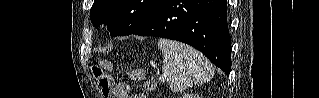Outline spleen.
Masks as SVG:
<instances>
[{
	"mask_svg": "<svg viewBox=\"0 0 319 98\" xmlns=\"http://www.w3.org/2000/svg\"><path fill=\"white\" fill-rule=\"evenodd\" d=\"M158 48L164 56L162 78L169 80L172 91L186 90L213 77L212 64L196 49L166 39H159Z\"/></svg>",
	"mask_w": 319,
	"mask_h": 98,
	"instance_id": "3e777b00",
	"label": "spleen"
}]
</instances>
